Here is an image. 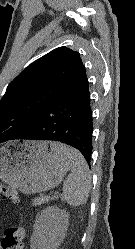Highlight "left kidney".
I'll return each mask as SVG.
<instances>
[{
	"mask_svg": "<svg viewBox=\"0 0 135 249\" xmlns=\"http://www.w3.org/2000/svg\"><path fill=\"white\" fill-rule=\"evenodd\" d=\"M69 225V214L56 206H49L37 215L31 249H58L65 237Z\"/></svg>",
	"mask_w": 135,
	"mask_h": 249,
	"instance_id": "obj_1",
	"label": "left kidney"
}]
</instances>
